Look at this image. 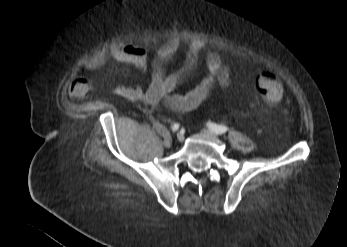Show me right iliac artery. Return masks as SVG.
<instances>
[{"label": "right iliac artery", "mask_w": 347, "mask_h": 247, "mask_svg": "<svg viewBox=\"0 0 347 247\" xmlns=\"http://www.w3.org/2000/svg\"><path fill=\"white\" fill-rule=\"evenodd\" d=\"M178 129H179V124H178V123H174V124L172 125V131H173V132H176Z\"/></svg>", "instance_id": "1"}]
</instances>
